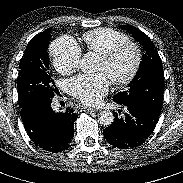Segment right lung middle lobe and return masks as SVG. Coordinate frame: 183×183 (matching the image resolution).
Returning <instances> with one entry per match:
<instances>
[{
  "label": "right lung middle lobe",
  "instance_id": "right-lung-middle-lobe-1",
  "mask_svg": "<svg viewBox=\"0 0 183 183\" xmlns=\"http://www.w3.org/2000/svg\"><path fill=\"white\" fill-rule=\"evenodd\" d=\"M51 29L37 34L27 45L19 65L18 103L22 107L33 98H53L57 88L49 72L47 47Z\"/></svg>",
  "mask_w": 183,
  "mask_h": 183
}]
</instances>
